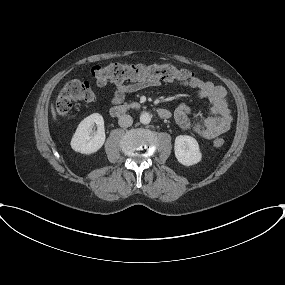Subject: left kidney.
<instances>
[{"instance_id": "obj_1", "label": "left kidney", "mask_w": 285, "mask_h": 285, "mask_svg": "<svg viewBox=\"0 0 285 285\" xmlns=\"http://www.w3.org/2000/svg\"><path fill=\"white\" fill-rule=\"evenodd\" d=\"M174 151L178 162L185 166L197 164L202 158L197 140L188 135L176 137Z\"/></svg>"}]
</instances>
